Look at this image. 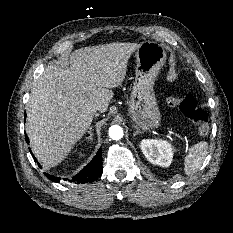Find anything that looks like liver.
I'll return each instance as SVG.
<instances>
[{
    "label": "liver",
    "mask_w": 233,
    "mask_h": 233,
    "mask_svg": "<svg viewBox=\"0 0 233 233\" xmlns=\"http://www.w3.org/2000/svg\"><path fill=\"white\" fill-rule=\"evenodd\" d=\"M137 43H109L80 48L70 67L48 65L32 88L27 104L26 133L32 151L46 168L58 165L83 137L95 115L105 112L111 88L124 80Z\"/></svg>",
    "instance_id": "obj_1"
}]
</instances>
